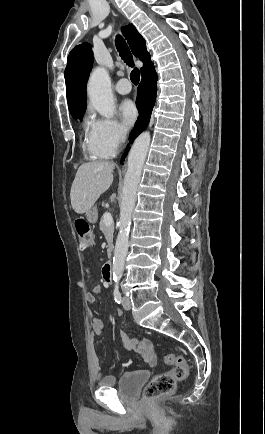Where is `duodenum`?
I'll list each match as a JSON object with an SVG mask.
<instances>
[{
  "instance_id": "1",
  "label": "duodenum",
  "mask_w": 265,
  "mask_h": 434,
  "mask_svg": "<svg viewBox=\"0 0 265 434\" xmlns=\"http://www.w3.org/2000/svg\"><path fill=\"white\" fill-rule=\"evenodd\" d=\"M111 270H112V263L107 262L103 267V279L106 283L112 282Z\"/></svg>"
}]
</instances>
